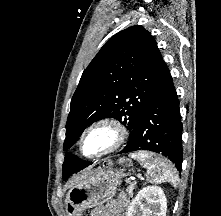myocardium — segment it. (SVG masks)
I'll return each instance as SVG.
<instances>
[{
    "label": "myocardium",
    "mask_w": 221,
    "mask_h": 216,
    "mask_svg": "<svg viewBox=\"0 0 221 216\" xmlns=\"http://www.w3.org/2000/svg\"><path fill=\"white\" fill-rule=\"evenodd\" d=\"M107 129L108 131L111 132L112 134V140L110 144L105 147L103 150L95 153V154H85L83 151V144L85 138L94 130L96 129ZM128 138V129L127 127L121 123L119 120L115 118H102L94 121L91 123L81 134L79 142H78V147L80 153L86 157V158H100L105 155H108L117 149H119L127 140Z\"/></svg>",
    "instance_id": "f54148a6"
}]
</instances>
